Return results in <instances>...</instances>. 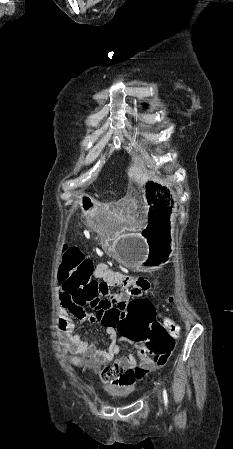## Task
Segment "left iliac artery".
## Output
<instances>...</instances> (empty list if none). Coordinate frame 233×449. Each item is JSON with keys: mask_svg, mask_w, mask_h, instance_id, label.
Listing matches in <instances>:
<instances>
[{"mask_svg": "<svg viewBox=\"0 0 233 449\" xmlns=\"http://www.w3.org/2000/svg\"><path fill=\"white\" fill-rule=\"evenodd\" d=\"M163 398H164V403L167 406V404H168V396H167L166 389H163Z\"/></svg>", "mask_w": 233, "mask_h": 449, "instance_id": "obj_1", "label": "left iliac artery"}]
</instances>
